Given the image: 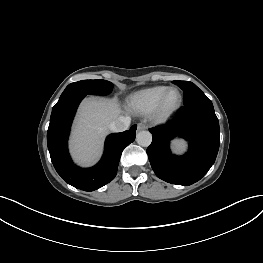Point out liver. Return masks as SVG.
I'll use <instances>...</instances> for the list:
<instances>
[{
  "mask_svg": "<svg viewBox=\"0 0 263 263\" xmlns=\"http://www.w3.org/2000/svg\"><path fill=\"white\" fill-rule=\"evenodd\" d=\"M120 112L115 99L87 98L81 103L71 138V152L79 164L88 166L98 159L108 126Z\"/></svg>",
  "mask_w": 263,
  "mask_h": 263,
  "instance_id": "6515ba94",
  "label": "liver"
}]
</instances>
